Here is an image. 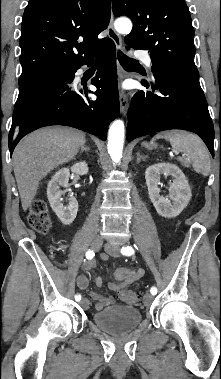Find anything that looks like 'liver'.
<instances>
[{
    "label": "liver",
    "mask_w": 221,
    "mask_h": 379,
    "mask_svg": "<svg viewBox=\"0 0 221 379\" xmlns=\"http://www.w3.org/2000/svg\"><path fill=\"white\" fill-rule=\"evenodd\" d=\"M85 142L83 132L66 127L42 128L20 141L13 152V167L24 211L31 206L40 181L73 159Z\"/></svg>",
    "instance_id": "obj_1"
}]
</instances>
